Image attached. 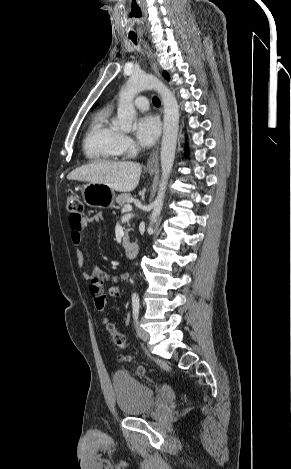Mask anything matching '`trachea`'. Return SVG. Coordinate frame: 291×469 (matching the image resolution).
Wrapping results in <instances>:
<instances>
[{
    "instance_id": "3493384b",
    "label": "trachea",
    "mask_w": 291,
    "mask_h": 469,
    "mask_svg": "<svg viewBox=\"0 0 291 469\" xmlns=\"http://www.w3.org/2000/svg\"><path fill=\"white\" fill-rule=\"evenodd\" d=\"M130 39H131L135 44H137V39H136V37H130ZM152 102H153V104H154L155 106H160V100H159L158 97L154 96Z\"/></svg>"
}]
</instances>
